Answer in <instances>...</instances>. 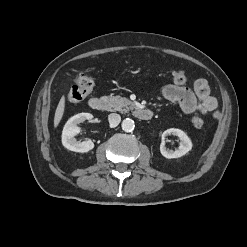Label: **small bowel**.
<instances>
[{
    "instance_id": "small-bowel-1",
    "label": "small bowel",
    "mask_w": 247,
    "mask_h": 247,
    "mask_svg": "<svg viewBox=\"0 0 247 247\" xmlns=\"http://www.w3.org/2000/svg\"><path fill=\"white\" fill-rule=\"evenodd\" d=\"M161 97L166 101L178 103L184 114L217 115V100L211 96L205 79H198L194 84V90L175 83L168 84L162 88Z\"/></svg>"
}]
</instances>
